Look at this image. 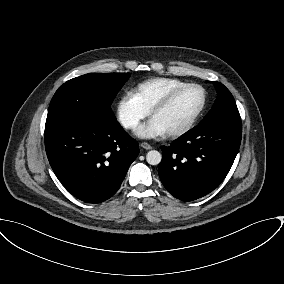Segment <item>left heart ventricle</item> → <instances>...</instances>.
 <instances>
[{
  "mask_svg": "<svg viewBox=\"0 0 284 284\" xmlns=\"http://www.w3.org/2000/svg\"><path fill=\"white\" fill-rule=\"evenodd\" d=\"M203 94L198 88H189L180 93L166 109L154 115L153 119L165 131L184 125L202 103Z\"/></svg>",
  "mask_w": 284,
  "mask_h": 284,
  "instance_id": "1",
  "label": "left heart ventricle"
}]
</instances>
